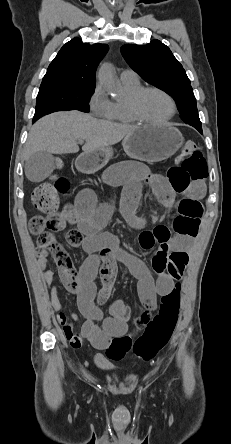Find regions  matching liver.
I'll return each mask as SVG.
<instances>
[{"mask_svg":"<svg viewBox=\"0 0 231 444\" xmlns=\"http://www.w3.org/2000/svg\"><path fill=\"white\" fill-rule=\"evenodd\" d=\"M139 126L98 120L80 111L55 112L38 120L30 130L24 158L45 151L77 153V140H85L83 154L107 148L132 134Z\"/></svg>","mask_w":231,"mask_h":444,"instance_id":"1","label":"liver"}]
</instances>
